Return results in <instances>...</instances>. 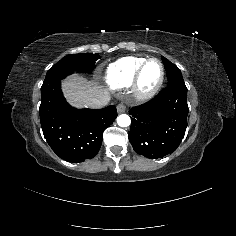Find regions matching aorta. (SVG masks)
Returning a JSON list of instances; mask_svg holds the SVG:
<instances>
[{"instance_id":"1","label":"aorta","mask_w":236,"mask_h":236,"mask_svg":"<svg viewBox=\"0 0 236 236\" xmlns=\"http://www.w3.org/2000/svg\"><path fill=\"white\" fill-rule=\"evenodd\" d=\"M116 121L120 127H127L130 125V117L127 114H120L116 118Z\"/></svg>"}]
</instances>
